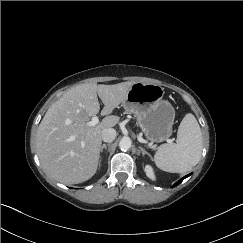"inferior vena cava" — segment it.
Segmentation results:
<instances>
[{"mask_svg":"<svg viewBox=\"0 0 243 243\" xmlns=\"http://www.w3.org/2000/svg\"><path fill=\"white\" fill-rule=\"evenodd\" d=\"M116 130L113 128H107L102 131V140L107 143H111L116 138Z\"/></svg>","mask_w":243,"mask_h":243,"instance_id":"602c4592","label":"inferior vena cava"}]
</instances>
